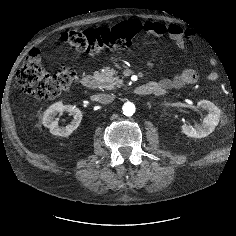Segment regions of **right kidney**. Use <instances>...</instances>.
<instances>
[{"instance_id":"obj_1","label":"right kidney","mask_w":236,"mask_h":236,"mask_svg":"<svg viewBox=\"0 0 236 236\" xmlns=\"http://www.w3.org/2000/svg\"><path fill=\"white\" fill-rule=\"evenodd\" d=\"M69 112L73 116V120L67 126H59L55 118L58 113ZM82 120V112L75 106L63 105L62 102H57L51 105L45 112L42 118V124L50 129V133L57 136H69Z\"/></svg>"}]
</instances>
